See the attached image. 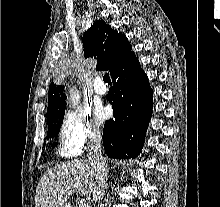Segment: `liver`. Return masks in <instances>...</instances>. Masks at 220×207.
I'll return each mask as SVG.
<instances>
[{"label":"liver","mask_w":220,"mask_h":207,"mask_svg":"<svg viewBox=\"0 0 220 207\" xmlns=\"http://www.w3.org/2000/svg\"><path fill=\"white\" fill-rule=\"evenodd\" d=\"M98 180L95 167L84 159H74L49 169L40 178L35 207H62L73 194L94 191Z\"/></svg>","instance_id":"liver-1"}]
</instances>
